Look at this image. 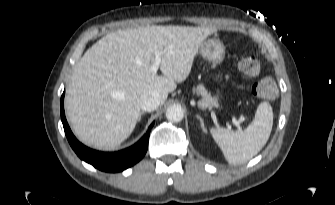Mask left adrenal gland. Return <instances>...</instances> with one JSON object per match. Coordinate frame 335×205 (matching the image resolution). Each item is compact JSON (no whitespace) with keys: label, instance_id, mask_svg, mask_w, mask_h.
Wrapping results in <instances>:
<instances>
[{"label":"left adrenal gland","instance_id":"1","mask_svg":"<svg viewBox=\"0 0 335 205\" xmlns=\"http://www.w3.org/2000/svg\"><path fill=\"white\" fill-rule=\"evenodd\" d=\"M196 117L199 119V121H200V123H201L202 130L206 133V132H207V129H206V127H205L203 118H202L199 114H197Z\"/></svg>","mask_w":335,"mask_h":205}]
</instances>
